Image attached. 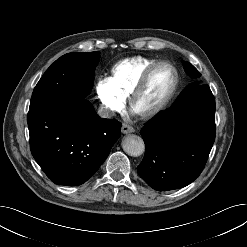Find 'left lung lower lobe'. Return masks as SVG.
Masks as SVG:
<instances>
[{
    "instance_id": "left-lung-lower-lobe-1",
    "label": "left lung lower lobe",
    "mask_w": 247,
    "mask_h": 247,
    "mask_svg": "<svg viewBox=\"0 0 247 247\" xmlns=\"http://www.w3.org/2000/svg\"><path fill=\"white\" fill-rule=\"evenodd\" d=\"M145 155L137 167L153 189L185 187L202 172L215 140V99L208 85H200L140 132Z\"/></svg>"
}]
</instances>
